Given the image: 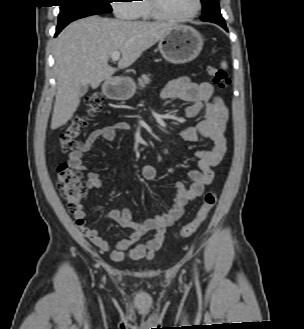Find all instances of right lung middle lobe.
I'll list each match as a JSON object with an SVG mask.
<instances>
[{
	"label": "right lung middle lobe",
	"mask_w": 304,
	"mask_h": 329,
	"mask_svg": "<svg viewBox=\"0 0 304 329\" xmlns=\"http://www.w3.org/2000/svg\"><path fill=\"white\" fill-rule=\"evenodd\" d=\"M60 13L57 27H63L70 22L99 13H110V0H59Z\"/></svg>",
	"instance_id": "1"
}]
</instances>
